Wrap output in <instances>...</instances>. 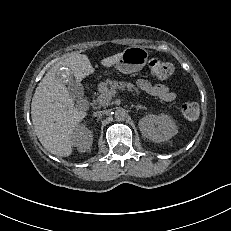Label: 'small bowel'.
Returning <instances> with one entry per match:
<instances>
[{
  "mask_svg": "<svg viewBox=\"0 0 231 231\" xmlns=\"http://www.w3.org/2000/svg\"><path fill=\"white\" fill-rule=\"evenodd\" d=\"M137 86L140 90L167 102L173 101L176 98L175 92L165 84H154L146 79H139Z\"/></svg>",
  "mask_w": 231,
  "mask_h": 231,
  "instance_id": "small-bowel-1",
  "label": "small bowel"
}]
</instances>
